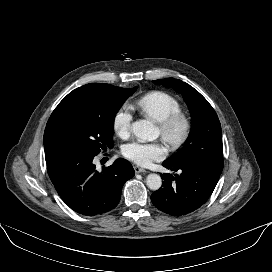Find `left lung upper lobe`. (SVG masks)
<instances>
[{
    "label": "left lung upper lobe",
    "mask_w": 272,
    "mask_h": 272,
    "mask_svg": "<svg viewBox=\"0 0 272 272\" xmlns=\"http://www.w3.org/2000/svg\"><path fill=\"white\" fill-rule=\"evenodd\" d=\"M155 84L173 88L180 93L191 113V132L186 144L165 161H191L222 171L223 146L219 119L209 102L192 86L174 78L155 80Z\"/></svg>",
    "instance_id": "5c2ea615"
}]
</instances>
